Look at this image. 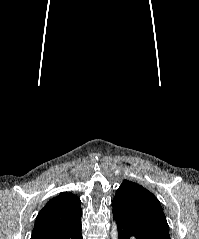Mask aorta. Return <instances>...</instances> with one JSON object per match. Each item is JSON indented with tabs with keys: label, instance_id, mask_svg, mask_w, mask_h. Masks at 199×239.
<instances>
[{
	"label": "aorta",
	"instance_id": "aorta-1",
	"mask_svg": "<svg viewBox=\"0 0 199 239\" xmlns=\"http://www.w3.org/2000/svg\"><path fill=\"white\" fill-rule=\"evenodd\" d=\"M111 236H112V239H117V236H118L117 235V227L115 224L112 227Z\"/></svg>",
	"mask_w": 199,
	"mask_h": 239
}]
</instances>
